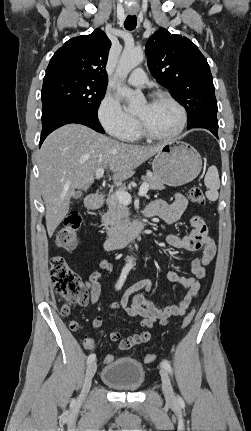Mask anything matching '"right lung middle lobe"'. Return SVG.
<instances>
[{
	"label": "right lung middle lobe",
	"mask_w": 251,
	"mask_h": 431,
	"mask_svg": "<svg viewBox=\"0 0 251 431\" xmlns=\"http://www.w3.org/2000/svg\"><path fill=\"white\" fill-rule=\"evenodd\" d=\"M107 84L65 70L46 71L41 92L42 115L71 108L97 117Z\"/></svg>",
	"instance_id": "dd1d6c3e"
}]
</instances>
